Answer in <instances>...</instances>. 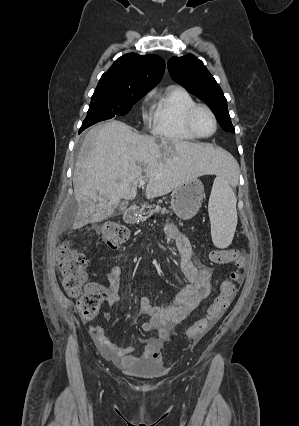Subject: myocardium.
I'll list each match as a JSON object with an SVG mask.
<instances>
[{
    "label": "myocardium",
    "instance_id": "f54148a6",
    "mask_svg": "<svg viewBox=\"0 0 299 426\" xmlns=\"http://www.w3.org/2000/svg\"><path fill=\"white\" fill-rule=\"evenodd\" d=\"M200 110H204L206 111L212 118L213 123H214V130L211 134L209 135H201L200 133H198V131L196 130L195 126H194V118L195 115L200 111ZM185 127L188 130V132L193 135L195 138H200V139H206V138H210L213 135L216 134L217 130H218V120L217 117L215 115V113L213 112V110L205 105V104H195L193 105L186 113L185 115Z\"/></svg>",
    "mask_w": 299,
    "mask_h": 426
}]
</instances>
